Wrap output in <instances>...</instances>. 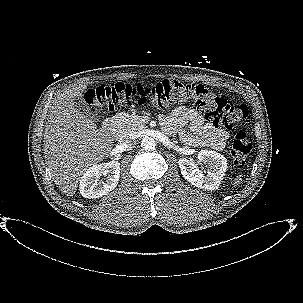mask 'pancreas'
Wrapping results in <instances>:
<instances>
[{
	"mask_svg": "<svg viewBox=\"0 0 303 303\" xmlns=\"http://www.w3.org/2000/svg\"><path fill=\"white\" fill-rule=\"evenodd\" d=\"M142 116L136 114L120 113L115 120L117 135L119 137L141 131L145 128Z\"/></svg>",
	"mask_w": 303,
	"mask_h": 303,
	"instance_id": "1",
	"label": "pancreas"
}]
</instances>
